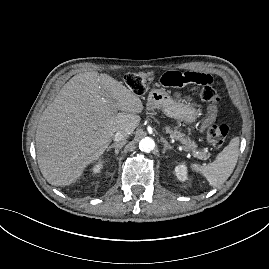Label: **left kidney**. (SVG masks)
Listing matches in <instances>:
<instances>
[{
  "mask_svg": "<svg viewBox=\"0 0 269 269\" xmlns=\"http://www.w3.org/2000/svg\"><path fill=\"white\" fill-rule=\"evenodd\" d=\"M175 174L180 181L188 179V171L185 164H179L175 167Z\"/></svg>",
  "mask_w": 269,
  "mask_h": 269,
  "instance_id": "obj_1",
  "label": "left kidney"
}]
</instances>
